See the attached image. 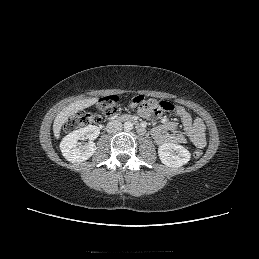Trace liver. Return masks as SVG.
Segmentation results:
<instances>
[{
  "mask_svg": "<svg viewBox=\"0 0 259 259\" xmlns=\"http://www.w3.org/2000/svg\"><path fill=\"white\" fill-rule=\"evenodd\" d=\"M98 101V98H88L78 100L65 107L58 113L53 123V133L56 139L60 137L61 127L68 120V118L80 110L88 108L94 105Z\"/></svg>",
  "mask_w": 259,
  "mask_h": 259,
  "instance_id": "liver-1",
  "label": "liver"
}]
</instances>
